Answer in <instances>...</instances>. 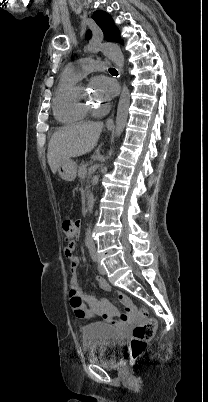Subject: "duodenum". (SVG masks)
I'll use <instances>...</instances> for the list:
<instances>
[{"label": "duodenum", "mask_w": 208, "mask_h": 402, "mask_svg": "<svg viewBox=\"0 0 208 402\" xmlns=\"http://www.w3.org/2000/svg\"><path fill=\"white\" fill-rule=\"evenodd\" d=\"M86 205H87V208H88V209H91V208L93 207V205H94V198H93V196L90 195V196L87 198Z\"/></svg>", "instance_id": "obj_1"}]
</instances>
